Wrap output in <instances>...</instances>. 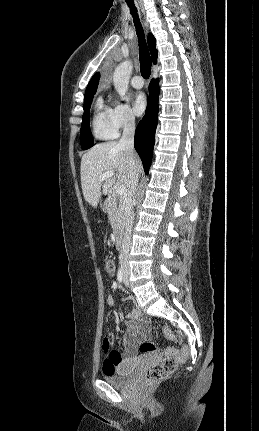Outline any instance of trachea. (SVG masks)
Listing matches in <instances>:
<instances>
[{
	"label": "trachea",
	"mask_w": 259,
	"mask_h": 431,
	"mask_svg": "<svg viewBox=\"0 0 259 431\" xmlns=\"http://www.w3.org/2000/svg\"><path fill=\"white\" fill-rule=\"evenodd\" d=\"M126 2L130 8L131 14L133 15L136 32L138 36L141 75L143 76L144 79H147L151 74V58L145 41L144 31L139 21L137 10L133 0H126Z\"/></svg>",
	"instance_id": "obj_1"
}]
</instances>
